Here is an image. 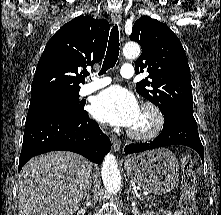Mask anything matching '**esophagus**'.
Masks as SVG:
<instances>
[{
	"instance_id": "obj_1",
	"label": "esophagus",
	"mask_w": 221,
	"mask_h": 215,
	"mask_svg": "<svg viewBox=\"0 0 221 215\" xmlns=\"http://www.w3.org/2000/svg\"><path fill=\"white\" fill-rule=\"evenodd\" d=\"M112 21L118 25L121 24V12L116 10L111 14ZM112 147L115 152H118L121 148V140L116 136L111 137Z\"/></svg>"
}]
</instances>
